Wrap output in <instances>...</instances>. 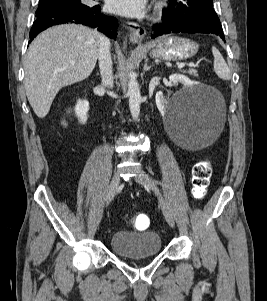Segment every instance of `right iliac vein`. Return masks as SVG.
<instances>
[{"instance_id":"obj_1","label":"right iliac vein","mask_w":267,"mask_h":301,"mask_svg":"<svg viewBox=\"0 0 267 301\" xmlns=\"http://www.w3.org/2000/svg\"><path fill=\"white\" fill-rule=\"evenodd\" d=\"M119 183H120V174L117 172L113 176V178L110 182L109 188L106 192V205H108L110 203V201L114 198V196L117 192Z\"/></svg>"}]
</instances>
